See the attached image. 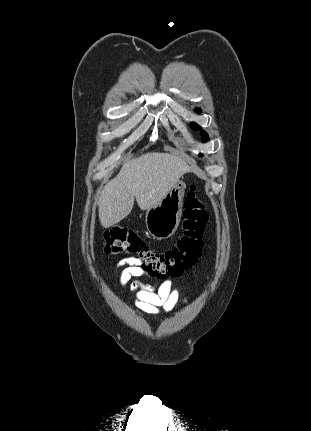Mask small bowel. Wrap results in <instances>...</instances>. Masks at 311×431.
Returning a JSON list of instances; mask_svg holds the SVG:
<instances>
[{
  "instance_id": "obj_1",
  "label": "small bowel",
  "mask_w": 311,
  "mask_h": 431,
  "mask_svg": "<svg viewBox=\"0 0 311 431\" xmlns=\"http://www.w3.org/2000/svg\"><path fill=\"white\" fill-rule=\"evenodd\" d=\"M116 274L121 286H128L136 295V306L143 312L159 314L172 311L180 299V292L173 287L170 280H166L157 287L145 285L138 281H132L146 272L140 261L135 257L120 260L116 265Z\"/></svg>"
}]
</instances>
